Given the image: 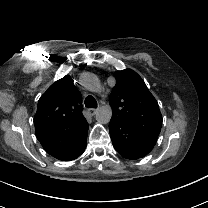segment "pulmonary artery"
<instances>
[{"mask_svg": "<svg viewBox=\"0 0 208 208\" xmlns=\"http://www.w3.org/2000/svg\"><path fill=\"white\" fill-rule=\"evenodd\" d=\"M85 79H86V80H88V78H85ZM97 89H101V87H100V86H98V87H97Z\"/></svg>", "mask_w": 208, "mask_h": 208, "instance_id": "obj_1", "label": "pulmonary artery"}]
</instances>
